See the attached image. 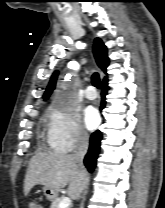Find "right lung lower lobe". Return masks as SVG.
<instances>
[{
	"instance_id": "98d812e1",
	"label": "right lung lower lobe",
	"mask_w": 165,
	"mask_h": 208,
	"mask_svg": "<svg viewBox=\"0 0 165 208\" xmlns=\"http://www.w3.org/2000/svg\"><path fill=\"white\" fill-rule=\"evenodd\" d=\"M102 87H103L102 102H101L100 110H102L105 107V103H106L105 96L107 94V90L109 89L107 79L103 81ZM101 139H102V133L99 130L92 133L90 137L89 150L84 159V164L90 172H92L95 168L96 160L100 151Z\"/></svg>"
}]
</instances>
